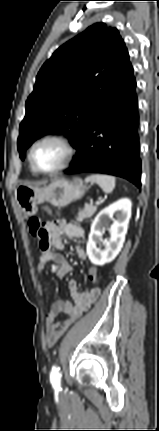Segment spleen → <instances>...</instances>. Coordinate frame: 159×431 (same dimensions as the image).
Here are the masks:
<instances>
[{"instance_id":"obj_1","label":"spleen","mask_w":159,"mask_h":431,"mask_svg":"<svg viewBox=\"0 0 159 431\" xmlns=\"http://www.w3.org/2000/svg\"><path fill=\"white\" fill-rule=\"evenodd\" d=\"M86 182L97 183L106 193H111L116 185V179L110 175L93 174L87 177Z\"/></svg>"}]
</instances>
